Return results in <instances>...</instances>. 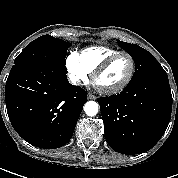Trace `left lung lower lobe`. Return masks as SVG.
<instances>
[{
  "instance_id": "obj_1",
  "label": "left lung lower lobe",
  "mask_w": 178,
  "mask_h": 178,
  "mask_svg": "<svg viewBox=\"0 0 178 178\" xmlns=\"http://www.w3.org/2000/svg\"><path fill=\"white\" fill-rule=\"evenodd\" d=\"M98 103L109 146L127 155L146 152L160 140L171 118L168 76L141 78L120 94L98 98Z\"/></svg>"
}]
</instances>
